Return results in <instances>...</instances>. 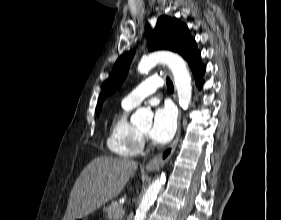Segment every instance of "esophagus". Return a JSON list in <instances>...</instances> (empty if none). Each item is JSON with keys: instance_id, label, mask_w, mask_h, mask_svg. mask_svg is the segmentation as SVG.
I'll list each match as a JSON object with an SVG mask.
<instances>
[{"instance_id": "34e87169", "label": "esophagus", "mask_w": 281, "mask_h": 220, "mask_svg": "<svg viewBox=\"0 0 281 220\" xmlns=\"http://www.w3.org/2000/svg\"><path fill=\"white\" fill-rule=\"evenodd\" d=\"M175 98H176V94H175ZM180 134H181V110L179 109L178 129H177V134H176V137H175L174 141L162 153H160L159 155L155 156L154 158H152L148 162V164L146 165V170L147 171L158 170L166 162L169 161V159L171 158L174 150L177 147V144H178V141H179V138H180Z\"/></svg>"}]
</instances>
